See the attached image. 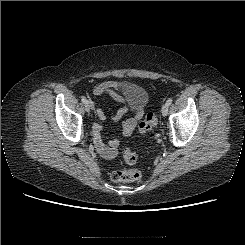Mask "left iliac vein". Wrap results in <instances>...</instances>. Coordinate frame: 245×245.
I'll return each mask as SVG.
<instances>
[{
  "label": "left iliac vein",
  "mask_w": 245,
  "mask_h": 245,
  "mask_svg": "<svg viewBox=\"0 0 245 245\" xmlns=\"http://www.w3.org/2000/svg\"><path fill=\"white\" fill-rule=\"evenodd\" d=\"M168 108H169V106L166 103L162 106L161 113L163 116H167Z\"/></svg>",
  "instance_id": "left-iliac-vein-1"
}]
</instances>
